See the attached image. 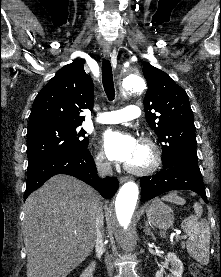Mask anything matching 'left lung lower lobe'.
<instances>
[{"mask_svg": "<svg viewBox=\"0 0 221 277\" xmlns=\"http://www.w3.org/2000/svg\"><path fill=\"white\" fill-rule=\"evenodd\" d=\"M141 201L150 200L171 190H191L198 193L208 203L201 173H196L185 166L164 168L153 176L142 177Z\"/></svg>", "mask_w": 221, "mask_h": 277, "instance_id": "1", "label": "left lung lower lobe"}]
</instances>
